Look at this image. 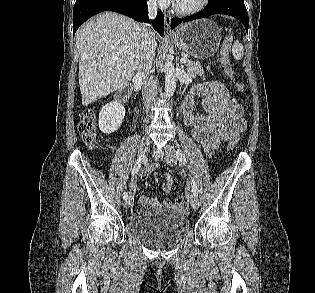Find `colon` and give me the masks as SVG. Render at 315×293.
<instances>
[{"instance_id": "1", "label": "colon", "mask_w": 315, "mask_h": 293, "mask_svg": "<svg viewBox=\"0 0 315 293\" xmlns=\"http://www.w3.org/2000/svg\"><path fill=\"white\" fill-rule=\"evenodd\" d=\"M234 41H235L234 33L232 30H229L224 40H222L221 42L219 59L222 63V66L225 70L227 77L234 83L238 91L244 92L245 90L244 85L236 80L229 63L231 47ZM79 133L84 143L89 147L94 146L99 140V135L96 128L95 114L93 111L87 110L84 113L83 118L79 124ZM238 140H239L238 138H234L233 140H231L229 147L233 148L237 144ZM175 202L180 207H184L187 203L186 198L182 195H178L175 199Z\"/></svg>"}]
</instances>
